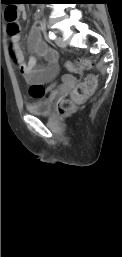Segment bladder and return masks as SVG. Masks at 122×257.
I'll list each match as a JSON object with an SVG mask.
<instances>
[{
	"label": "bladder",
	"instance_id": "1",
	"mask_svg": "<svg viewBox=\"0 0 122 257\" xmlns=\"http://www.w3.org/2000/svg\"><path fill=\"white\" fill-rule=\"evenodd\" d=\"M53 99L39 98L34 102L27 105L26 109L29 113L33 115L45 116L48 115L52 110Z\"/></svg>",
	"mask_w": 122,
	"mask_h": 257
}]
</instances>
